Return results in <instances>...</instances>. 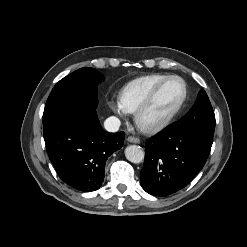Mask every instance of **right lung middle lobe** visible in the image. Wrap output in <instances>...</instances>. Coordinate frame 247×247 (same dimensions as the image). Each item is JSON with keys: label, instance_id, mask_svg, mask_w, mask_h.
<instances>
[{"label": "right lung middle lobe", "instance_id": "1", "mask_svg": "<svg viewBox=\"0 0 247 247\" xmlns=\"http://www.w3.org/2000/svg\"><path fill=\"white\" fill-rule=\"evenodd\" d=\"M104 76L94 68H81L61 79L52 89L43 113V126L69 115L96 109L97 85Z\"/></svg>", "mask_w": 247, "mask_h": 247}]
</instances>
